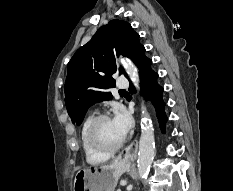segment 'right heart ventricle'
Here are the masks:
<instances>
[{
	"mask_svg": "<svg viewBox=\"0 0 233 191\" xmlns=\"http://www.w3.org/2000/svg\"><path fill=\"white\" fill-rule=\"evenodd\" d=\"M92 119L93 117L90 115L84 120L81 126V130H80V140H81V146H82L86 161L90 164H99V163L106 161L109 158V156L100 155V154L93 152L87 144L86 131Z\"/></svg>",
	"mask_w": 233,
	"mask_h": 191,
	"instance_id": "right-heart-ventricle-1",
	"label": "right heart ventricle"
}]
</instances>
